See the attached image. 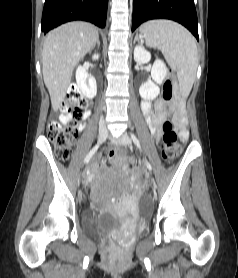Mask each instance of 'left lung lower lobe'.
Wrapping results in <instances>:
<instances>
[{
	"instance_id": "0a47b994",
	"label": "left lung lower lobe",
	"mask_w": 238,
	"mask_h": 278,
	"mask_svg": "<svg viewBox=\"0 0 238 278\" xmlns=\"http://www.w3.org/2000/svg\"><path fill=\"white\" fill-rule=\"evenodd\" d=\"M159 18L179 22L198 40L194 0H133L132 31L147 20Z\"/></svg>"
}]
</instances>
